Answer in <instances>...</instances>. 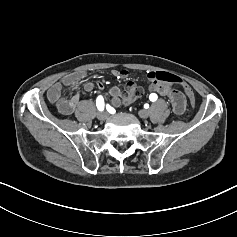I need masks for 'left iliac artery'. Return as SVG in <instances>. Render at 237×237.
Instances as JSON below:
<instances>
[{
    "label": "left iliac artery",
    "mask_w": 237,
    "mask_h": 237,
    "mask_svg": "<svg viewBox=\"0 0 237 237\" xmlns=\"http://www.w3.org/2000/svg\"><path fill=\"white\" fill-rule=\"evenodd\" d=\"M157 98H158V96H157V94H155V93H152V94H150V96H149V99H150V101H152V102L156 101Z\"/></svg>",
    "instance_id": "obj_1"
}]
</instances>
